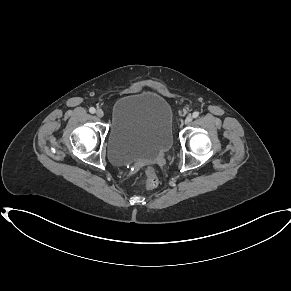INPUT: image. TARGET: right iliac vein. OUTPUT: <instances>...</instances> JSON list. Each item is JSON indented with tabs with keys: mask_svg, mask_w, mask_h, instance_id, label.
<instances>
[{
	"mask_svg": "<svg viewBox=\"0 0 291 291\" xmlns=\"http://www.w3.org/2000/svg\"><path fill=\"white\" fill-rule=\"evenodd\" d=\"M96 115H97L99 118H102V117L104 116V112H103V110H102V109H98V110L96 111Z\"/></svg>",
	"mask_w": 291,
	"mask_h": 291,
	"instance_id": "obj_1",
	"label": "right iliac vein"
}]
</instances>
